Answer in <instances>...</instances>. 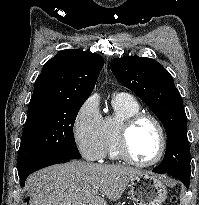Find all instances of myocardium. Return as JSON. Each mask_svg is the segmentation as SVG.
<instances>
[{"instance_id":"f54148a6","label":"myocardium","mask_w":199,"mask_h":205,"mask_svg":"<svg viewBox=\"0 0 199 205\" xmlns=\"http://www.w3.org/2000/svg\"><path fill=\"white\" fill-rule=\"evenodd\" d=\"M151 121L157 128L160 138V147L156 157L148 162H140L136 160L129 149V137L132 129L141 121ZM167 137L165 129L160 120L152 114L146 112H137L127 116L119 125L117 133V150L120 158L125 162L137 167H149L160 162L166 152Z\"/></svg>"}]
</instances>
